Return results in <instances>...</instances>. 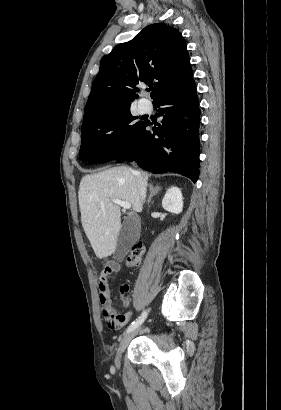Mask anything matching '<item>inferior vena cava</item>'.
Returning a JSON list of instances; mask_svg holds the SVG:
<instances>
[{
    "label": "inferior vena cava",
    "instance_id": "602c4592",
    "mask_svg": "<svg viewBox=\"0 0 281 410\" xmlns=\"http://www.w3.org/2000/svg\"><path fill=\"white\" fill-rule=\"evenodd\" d=\"M137 182H138V187H139L140 198L142 202H144L146 198V187L140 175H137Z\"/></svg>",
    "mask_w": 281,
    "mask_h": 410
}]
</instances>
